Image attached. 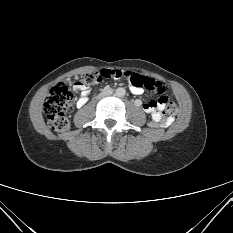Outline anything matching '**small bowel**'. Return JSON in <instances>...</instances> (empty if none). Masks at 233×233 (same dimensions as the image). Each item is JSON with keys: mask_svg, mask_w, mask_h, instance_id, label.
Here are the masks:
<instances>
[{"mask_svg": "<svg viewBox=\"0 0 233 233\" xmlns=\"http://www.w3.org/2000/svg\"><path fill=\"white\" fill-rule=\"evenodd\" d=\"M108 77L111 78H124L128 81L127 76H122L121 77V73H116V72H106L101 74V79H106ZM126 85L128 87H130V90L133 94L135 95H140L143 93V89L142 88H137L132 86L129 82H126ZM73 89L77 92H79V99H78V107H83L86 102H87V97L90 93V89L84 85H82L80 82H75L73 85ZM140 104V101H139ZM143 109L147 112L150 113L152 115V118L154 116H158L161 120L164 121L163 126H168L171 123L170 119H166L165 115L163 114V109L164 106L163 104H155L154 101L152 100L149 103H146L143 105Z\"/></svg>", "mask_w": 233, "mask_h": 233, "instance_id": "small-bowel-1", "label": "small bowel"}]
</instances>
